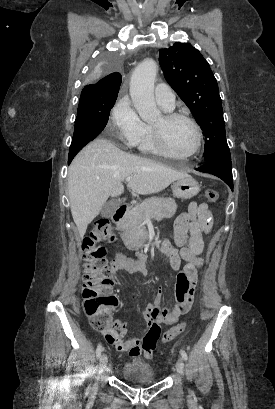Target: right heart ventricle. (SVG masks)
Here are the masks:
<instances>
[{
    "instance_id": "obj_1",
    "label": "right heart ventricle",
    "mask_w": 275,
    "mask_h": 409,
    "mask_svg": "<svg viewBox=\"0 0 275 409\" xmlns=\"http://www.w3.org/2000/svg\"><path fill=\"white\" fill-rule=\"evenodd\" d=\"M164 110V109H163ZM166 113H171L172 110H164ZM140 153L146 155H163L154 142L153 125L143 123L142 132L137 143Z\"/></svg>"
}]
</instances>
